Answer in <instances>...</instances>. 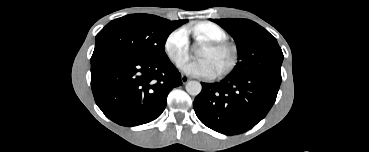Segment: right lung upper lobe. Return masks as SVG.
Here are the masks:
<instances>
[{
  "mask_svg": "<svg viewBox=\"0 0 369 152\" xmlns=\"http://www.w3.org/2000/svg\"><path fill=\"white\" fill-rule=\"evenodd\" d=\"M174 25H176L177 27L181 26L182 24H184L185 22H187V20H178V21H171Z\"/></svg>",
  "mask_w": 369,
  "mask_h": 152,
  "instance_id": "cb5924a9",
  "label": "right lung upper lobe"
}]
</instances>
